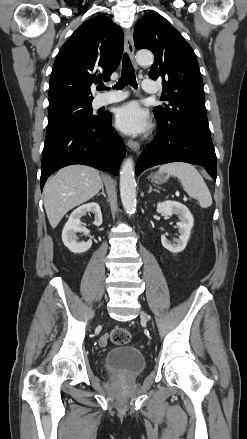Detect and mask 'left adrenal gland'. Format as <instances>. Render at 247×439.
I'll use <instances>...</instances> for the list:
<instances>
[{
  "label": "left adrenal gland",
  "instance_id": "left-adrenal-gland-1",
  "mask_svg": "<svg viewBox=\"0 0 247 439\" xmlns=\"http://www.w3.org/2000/svg\"><path fill=\"white\" fill-rule=\"evenodd\" d=\"M152 191H155V192H158V193H159V190H157V189H153L152 186L150 185V186H149V191H148V193H151Z\"/></svg>",
  "mask_w": 247,
  "mask_h": 439
}]
</instances>
